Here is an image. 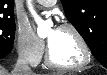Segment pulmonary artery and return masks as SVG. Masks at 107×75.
Returning <instances> with one entry per match:
<instances>
[{"mask_svg": "<svg viewBox=\"0 0 107 75\" xmlns=\"http://www.w3.org/2000/svg\"><path fill=\"white\" fill-rule=\"evenodd\" d=\"M36 2L40 5L51 7L56 3V0H37Z\"/></svg>", "mask_w": 107, "mask_h": 75, "instance_id": "1", "label": "pulmonary artery"}]
</instances>
